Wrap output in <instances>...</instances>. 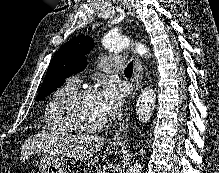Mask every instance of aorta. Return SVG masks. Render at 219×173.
Here are the masks:
<instances>
[{
    "label": "aorta",
    "mask_w": 219,
    "mask_h": 173,
    "mask_svg": "<svg viewBox=\"0 0 219 173\" xmlns=\"http://www.w3.org/2000/svg\"><path fill=\"white\" fill-rule=\"evenodd\" d=\"M102 46L108 51H122L133 49V51L141 56L149 57V50L140 43H133L128 37L123 35L107 34L102 38ZM156 93L152 88H148L139 95L136 103V114L142 123L150 120L155 109ZM142 166L135 162L131 165L126 173H141Z\"/></svg>",
    "instance_id": "obj_1"
}]
</instances>
